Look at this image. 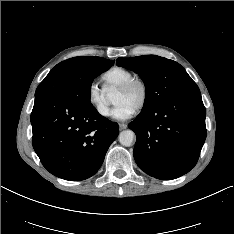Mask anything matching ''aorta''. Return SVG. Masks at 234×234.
I'll return each instance as SVG.
<instances>
[{
  "label": "aorta",
  "instance_id": "aorta-1",
  "mask_svg": "<svg viewBox=\"0 0 234 234\" xmlns=\"http://www.w3.org/2000/svg\"><path fill=\"white\" fill-rule=\"evenodd\" d=\"M135 138V133L132 130H124L119 134V142L123 146H131Z\"/></svg>",
  "mask_w": 234,
  "mask_h": 234
}]
</instances>
